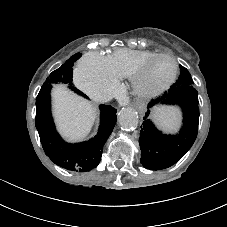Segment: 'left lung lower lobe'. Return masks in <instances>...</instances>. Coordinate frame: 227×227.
<instances>
[{"label": "left lung lower lobe", "mask_w": 227, "mask_h": 227, "mask_svg": "<svg viewBox=\"0 0 227 227\" xmlns=\"http://www.w3.org/2000/svg\"><path fill=\"white\" fill-rule=\"evenodd\" d=\"M177 104L182 108L183 125L177 135H164L148 119L150 108ZM198 92L193 84L173 85L168 92L148 104L140 132L141 163L150 170L168 168L178 162L193 145L199 123Z\"/></svg>", "instance_id": "1"}]
</instances>
